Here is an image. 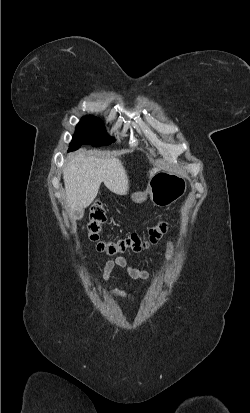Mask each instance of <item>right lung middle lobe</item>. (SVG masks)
Returning a JSON list of instances; mask_svg holds the SVG:
<instances>
[{"label":"right lung middle lobe","instance_id":"dd1d6c3e","mask_svg":"<svg viewBox=\"0 0 250 413\" xmlns=\"http://www.w3.org/2000/svg\"><path fill=\"white\" fill-rule=\"evenodd\" d=\"M113 138L105 132L103 122L97 117L85 116L76 126L75 135L70 143L69 151L77 150L82 144L93 146L109 145Z\"/></svg>","mask_w":250,"mask_h":413}]
</instances>
